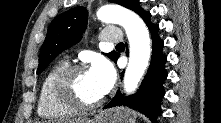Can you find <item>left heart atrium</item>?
<instances>
[{
    "instance_id": "obj_1",
    "label": "left heart atrium",
    "mask_w": 221,
    "mask_h": 123,
    "mask_svg": "<svg viewBox=\"0 0 221 123\" xmlns=\"http://www.w3.org/2000/svg\"><path fill=\"white\" fill-rule=\"evenodd\" d=\"M102 95L108 93L115 81V71L111 63L103 57L93 59L88 70Z\"/></svg>"
}]
</instances>
